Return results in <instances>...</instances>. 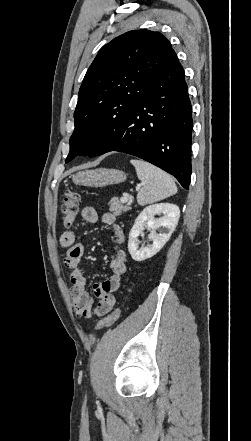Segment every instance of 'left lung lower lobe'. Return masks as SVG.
<instances>
[{
    "mask_svg": "<svg viewBox=\"0 0 251 441\" xmlns=\"http://www.w3.org/2000/svg\"><path fill=\"white\" fill-rule=\"evenodd\" d=\"M192 127L184 70L174 54L150 83L147 95L122 121L94 131L89 157L110 151L131 154L172 174L188 189Z\"/></svg>",
    "mask_w": 251,
    "mask_h": 441,
    "instance_id": "obj_1",
    "label": "left lung lower lobe"
}]
</instances>
